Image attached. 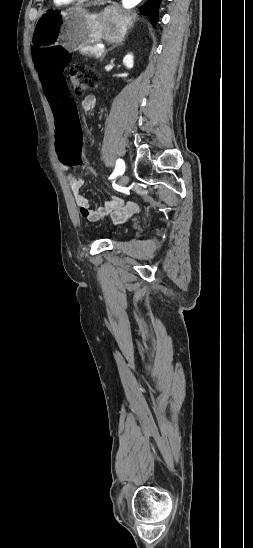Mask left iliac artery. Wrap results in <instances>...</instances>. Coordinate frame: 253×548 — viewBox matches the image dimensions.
<instances>
[{
    "label": "left iliac artery",
    "mask_w": 253,
    "mask_h": 548,
    "mask_svg": "<svg viewBox=\"0 0 253 548\" xmlns=\"http://www.w3.org/2000/svg\"><path fill=\"white\" fill-rule=\"evenodd\" d=\"M125 170V163L122 159H118L116 161V167L112 175L109 177V179H113L114 177L121 175L124 173Z\"/></svg>",
    "instance_id": "obj_1"
}]
</instances>
